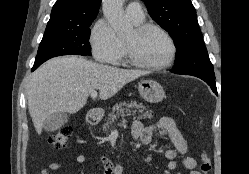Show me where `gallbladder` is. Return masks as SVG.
Wrapping results in <instances>:
<instances>
[{"instance_id":"gallbladder-1","label":"gallbladder","mask_w":249,"mask_h":174,"mask_svg":"<svg viewBox=\"0 0 249 174\" xmlns=\"http://www.w3.org/2000/svg\"><path fill=\"white\" fill-rule=\"evenodd\" d=\"M68 121L66 113H54L46 118L43 128L47 132H53L61 128Z\"/></svg>"}]
</instances>
